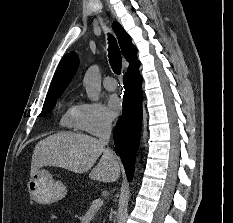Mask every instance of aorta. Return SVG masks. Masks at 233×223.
I'll use <instances>...</instances> for the list:
<instances>
[{
    "label": "aorta",
    "instance_id": "aorta-1",
    "mask_svg": "<svg viewBox=\"0 0 233 223\" xmlns=\"http://www.w3.org/2000/svg\"><path fill=\"white\" fill-rule=\"evenodd\" d=\"M83 86L86 90L87 98H89L91 102H98L101 92V74L99 66H91V68H88L84 76Z\"/></svg>",
    "mask_w": 233,
    "mask_h": 223
}]
</instances>
